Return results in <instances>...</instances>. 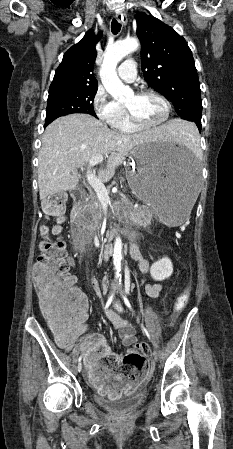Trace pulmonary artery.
Segmentation results:
<instances>
[{"label":"pulmonary artery","instance_id":"e3ab8cb5","mask_svg":"<svg viewBox=\"0 0 233 449\" xmlns=\"http://www.w3.org/2000/svg\"><path fill=\"white\" fill-rule=\"evenodd\" d=\"M118 76L121 80L131 83L136 79L137 69L135 61L127 59L121 63L118 69Z\"/></svg>","mask_w":233,"mask_h":449}]
</instances>
